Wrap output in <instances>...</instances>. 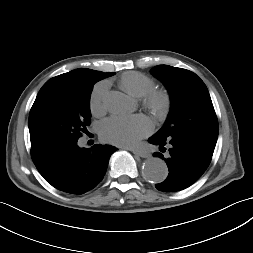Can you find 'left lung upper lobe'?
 <instances>
[{
	"mask_svg": "<svg viewBox=\"0 0 253 253\" xmlns=\"http://www.w3.org/2000/svg\"><path fill=\"white\" fill-rule=\"evenodd\" d=\"M151 72L164 83L171 98L168 118L155 137L166 139L196 130L218 137V122L209 92L195 73L168 65L156 66Z\"/></svg>",
	"mask_w": 253,
	"mask_h": 253,
	"instance_id": "5c2ea615",
	"label": "left lung upper lobe"
}]
</instances>
